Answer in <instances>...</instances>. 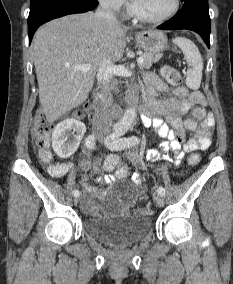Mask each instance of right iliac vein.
<instances>
[{
	"mask_svg": "<svg viewBox=\"0 0 233 284\" xmlns=\"http://www.w3.org/2000/svg\"><path fill=\"white\" fill-rule=\"evenodd\" d=\"M78 201H79V196L75 197L74 204L77 205Z\"/></svg>",
	"mask_w": 233,
	"mask_h": 284,
	"instance_id": "63e3f726",
	"label": "right iliac vein"
}]
</instances>
